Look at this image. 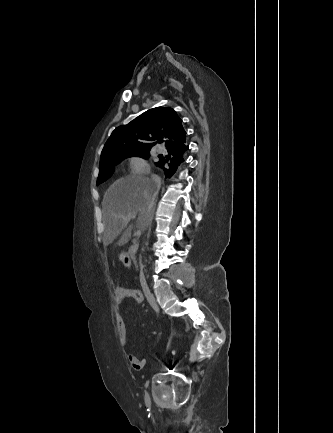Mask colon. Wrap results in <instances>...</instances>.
I'll list each match as a JSON object with an SVG mask.
<instances>
[{
    "instance_id": "colon-1",
    "label": "colon",
    "mask_w": 333,
    "mask_h": 433,
    "mask_svg": "<svg viewBox=\"0 0 333 433\" xmlns=\"http://www.w3.org/2000/svg\"><path fill=\"white\" fill-rule=\"evenodd\" d=\"M119 262L124 265L125 267H130V261L128 260V258H126L125 256H122L119 259Z\"/></svg>"
}]
</instances>
